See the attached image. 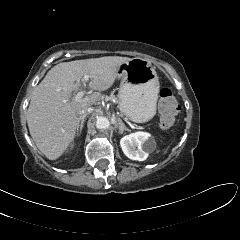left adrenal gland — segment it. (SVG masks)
<instances>
[{
    "instance_id": "obj_1",
    "label": "left adrenal gland",
    "mask_w": 240,
    "mask_h": 240,
    "mask_svg": "<svg viewBox=\"0 0 240 240\" xmlns=\"http://www.w3.org/2000/svg\"><path fill=\"white\" fill-rule=\"evenodd\" d=\"M118 124H119V133L122 134L123 131H130L126 126L125 124L122 122L121 119H118Z\"/></svg>"
}]
</instances>
